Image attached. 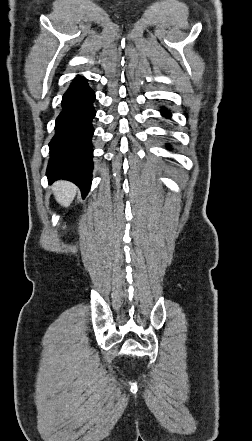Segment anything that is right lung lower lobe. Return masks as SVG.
<instances>
[{
    "label": "right lung lower lobe",
    "instance_id": "1",
    "mask_svg": "<svg viewBox=\"0 0 252 441\" xmlns=\"http://www.w3.org/2000/svg\"><path fill=\"white\" fill-rule=\"evenodd\" d=\"M94 100L95 93L87 80L76 77L63 96L55 135L49 143L50 159L46 171L49 182L71 181L80 188L83 197L89 192L92 179Z\"/></svg>",
    "mask_w": 252,
    "mask_h": 441
}]
</instances>
